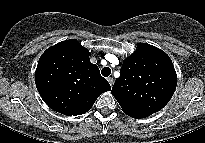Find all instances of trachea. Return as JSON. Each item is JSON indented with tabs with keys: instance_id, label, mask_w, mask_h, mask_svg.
<instances>
[{
	"instance_id": "1",
	"label": "trachea",
	"mask_w": 205,
	"mask_h": 143,
	"mask_svg": "<svg viewBox=\"0 0 205 143\" xmlns=\"http://www.w3.org/2000/svg\"><path fill=\"white\" fill-rule=\"evenodd\" d=\"M101 74L104 77H108L111 74V69L109 67H105L102 69Z\"/></svg>"
}]
</instances>
